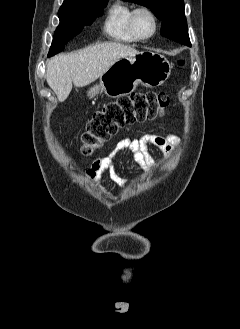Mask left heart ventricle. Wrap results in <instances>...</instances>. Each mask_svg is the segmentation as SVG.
<instances>
[{
	"label": "left heart ventricle",
	"instance_id": "left-heart-ventricle-1",
	"mask_svg": "<svg viewBox=\"0 0 240 329\" xmlns=\"http://www.w3.org/2000/svg\"><path fill=\"white\" fill-rule=\"evenodd\" d=\"M136 27L138 32L143 35H149L153 29V22L146 14H140L136 20Z\"/></svg>",
	"mask_w": 240,
	"mask_h": 329
}]
</instances>
